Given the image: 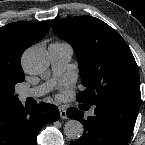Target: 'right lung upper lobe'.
I'll list each match as a JSON object with an SVG mask.
<instances>
[{
	"label": "right lung upper lobe",
	"mask_w": 145,
	"mask_h": 145,
	"mask_svg": "<svg viewBox=\"0 0 145 145\" xmlns=\"http://www.w3.org/2000/svg\"><path fill=\"white\" fill-rule=\"evenodd\" d=\"M49 29V21L15 22L0 28V103L24 80L20 63L23 52L41 40Z\"/></svg>",
	"instance_id": "right-lung-upper-lobe-1"
}]
</instances>
